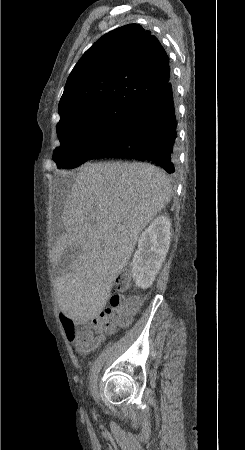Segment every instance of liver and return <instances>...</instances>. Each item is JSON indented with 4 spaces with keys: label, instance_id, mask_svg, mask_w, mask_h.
<instances>
[{
    "label": "liver",
    "instance_id": "liver-1",
    "mask_svg": "<svg viewBox=\"0 0 245 450\" xmlns=\"http://www.w3.org/2000/svg\"><path fill=\"white\" fill-rule=\"evenodd\" d=\"M166 174L148 163H86L67 186L66 233L52 249L54 269L70 247L80 249L54 287L63 313L87 320L100 313L142 230L169 203ZM116 229H120L116 231Z\"/></svg>",
    "mask_w": 245,
    "mask_h": 450
}]
</instances>
